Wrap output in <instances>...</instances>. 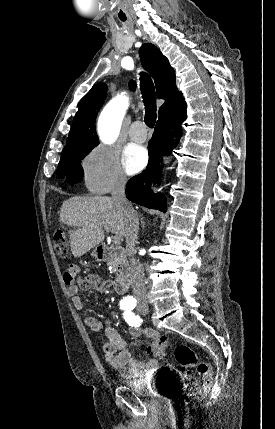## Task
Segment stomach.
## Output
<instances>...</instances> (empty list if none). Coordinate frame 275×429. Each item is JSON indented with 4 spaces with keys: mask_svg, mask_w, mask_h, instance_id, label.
<instances>
[{
    "mask_svg": "<svg viewBox=\"0 0 275 429\" xmlns=\"http://www.w3.org/2000/svg\"><path fill=\"white\" fill-rule=\"evenodd\" d=\"M92 256L97 257L96 251L92 253Z\"/></svg>",
    "mask_w": 275,
    "mask_h": 429,
    "instance_id": "0dacf381",
    "label": "stomach"
}]
</instances>
